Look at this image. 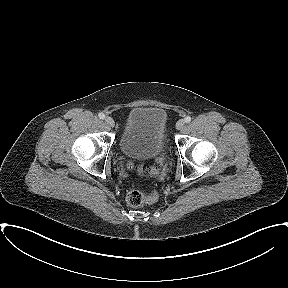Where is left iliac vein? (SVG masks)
Segmentation results:
<instances>
[{
  "label": "left iliac vein",
  "instance_id": "1",
  "mask_svg": "<svg viewBox=\"0 0 288 288\" xmlns=\"http://www.w3.org/2000/svg\"><path fill=\"white\" fill-rule=\"evenodd\" d=\"M184 124H185L184 120L181 119V120L177 121L176 128L178 130H181L184 127Z\"/></svg>",
  "mask_w": 288,
  "mask_h": 288
}]
</instances>
